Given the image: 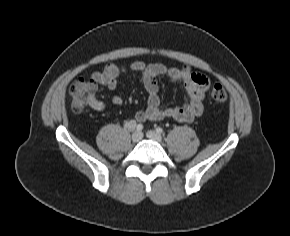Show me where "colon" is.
I'll use <instances>...</instances> for the list:
<instances>
[{
  "instance_id": "5ec220e1",
  "label": "colon",
  "mask_w": 290,
  "mask_h": 236,
  "mask_svg": "<svg viewBox=\"0 0 290 236\" xmlns=\"http://www.w3.org/2000/svg\"><path fill=\"white\" fill-rule=\"evenodd\" d=\"M97 88L94 83L84 79L74 81L68 89L71 98L72 110L81 113L95 99ZM211 100L214 102H224L227 100V92L221 84H215L209 92Z\"/></svg>"
}]
</instances>
